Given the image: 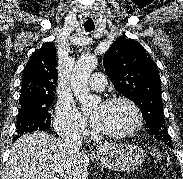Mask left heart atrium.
Returning <instances> with one entry per match:
<instances>
[{
  "label": "left heart atrium",
  "instance_id": "1",
  "mask_svg": "<svg viewBox=\"0 0 183 179\" xmlns=\"http://www.w3.org/2000/svg\"><path fill=\"white\" fill-rule=\"evenodd\" d=\"M92 123H93V125H94L96 128L99 129V127H100V125H101V119H100V117H99V116H94V117L92 118Z\"/></svg>",
  "mask_w": 183,
  "mask_h": 179
}]
</instances>
